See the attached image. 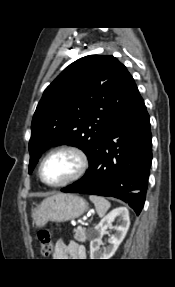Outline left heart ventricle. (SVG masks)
Instances as JSON below:
<instances>
[{"label":"left heart ventricle","mask_w":175,"mask_h":287,"mask_svg":"<svg viewBox=\"0 0 175 287\" xmlns=\"http://www.w3.org/2000/svg\"><path fill=\"white\" fill-rule=\"evenodd\" d=\"M78 168L77 158L70 152H59L45 162L43 177L48 183H60L72 176Z\"/></svg>","instance_id":"1"}]
</instances>
